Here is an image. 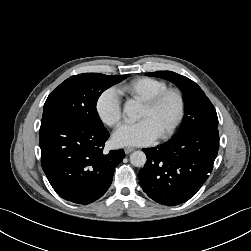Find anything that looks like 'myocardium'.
Masks as SVG:
<instances>
[{
	"label": "myocardium",
	"instance_id": "f54148a6",
	"mask_svg": "<svg viewBox=\"0 0 251 251\" xmlns=\"http://www.w3.org/2000/svg\"><path fill=\"white\" fill-rule=\"evenodd\" d=\"M169 96H172L176 99L177 112L173 121L166 128V130H164L160 135H158V138L161 140L168 139L169 137H171L180 126L184 118L185 108H186L184 95L177 88H166L158 92L151 98L143 101L144 106H146L149 109H155L164 99H166Z\"/></svg>",
	"mask_w": 251,
	"mask_h": 251
}]
</instances>
